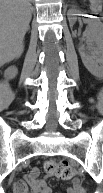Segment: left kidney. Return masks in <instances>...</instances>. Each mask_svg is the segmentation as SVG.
<instances>
[{
    "label": "left kidney",
    "mask_w": 103,
    "mask_h": 193,
    "mask_svg": "<svg viewBox=\"0 0 103 193\" xmlns=\"http://www.w3.org/2000/svg\"><path fill=\"white\" fill-rule=\"evenodd\" d=\"M70 26L77 20L76 16H84L80 10L70 9L67 13ZM91 17V16H87ZM94 18V17H93ZM88 24L86 35L89 38L90 55L86 53L84 46L79 47V53L84 66L95 77L103 75V31L102 24L97 19L83 20Z\"/></svg>",
    "instance_id": "left-kidney-1"
}]
</instances>
